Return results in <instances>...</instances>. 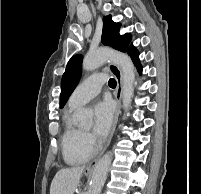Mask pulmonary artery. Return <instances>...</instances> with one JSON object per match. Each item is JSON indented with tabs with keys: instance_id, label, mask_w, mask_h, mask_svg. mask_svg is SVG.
I'll use <instances>...</instances> for the list:
<instances>
[{
	"instance_id": "1",
	"label": "pulmonary artery",
	"mask_w": 201,
	"mask_h": 194,
	"mask_svg": "<svg viewBox=\"0 0 201 194\" xmlns=\"http://www.w3.org/2000/svg\"><path fill=\"white\" fill-rule=\"evenodd\" d=\"M107 76L103 73L93 74L81 82L69 97V106L79 107L90 101L101 91Z\"/></svg>"
}]
</instances>
